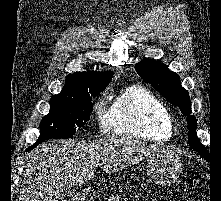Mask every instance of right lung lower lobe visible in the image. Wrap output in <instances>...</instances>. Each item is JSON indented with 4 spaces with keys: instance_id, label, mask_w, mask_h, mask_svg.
<instances>
[{
    "instance_id": "right-lung-lower-lobe-1",
    "label": "right lung lower lobe",
    "mask_w": 221,
    "mask_h": 201,
    "mask_svg": "<svg viewBox=\"0 0 221 201\" xmlns=\"http://www.w3.org/2000/svg\"><path fill=\"white\" fill-rule=\"evenodd\" d=\"M41 142H36L33 146L29 147L26 149V151L31 150L33 148H35L38 144H40Z\"/></svg>"
}]
</instances>
